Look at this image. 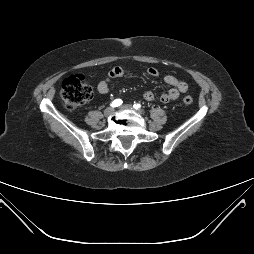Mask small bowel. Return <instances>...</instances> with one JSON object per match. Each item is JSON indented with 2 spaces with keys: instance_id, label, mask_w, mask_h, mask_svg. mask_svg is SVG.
I'll list each match as a JSON object with an SVG mask.
<instances>
[{
  "instance_id": "c3829d8e",
  "label": "small bowel",
  "mask_w": 254,
  "mask_h": 254,
  "mask_svg": "<svg viewBox=\"0 0 254 254\" xmlns=\"http://www.w3.org/2000/svg\"><path fill=\"white\" fill-rule=\"evenodd\" d=\"M124 74V71L120 67H114L112 68L106 75V77L98 82L97 90L101 94H106L109 92V85L112 80H115L117 78L122 77ZM147 74L151 77H158L159 71L151 67L147 70ZM164 82L170 86V90L166 93H163L160 95L159 100L162 103H170L171 101L176 100L180 93H184L188 90V84L172 75H167L164 77ZM144 99L146 101H153L155 99V94L152 91H147L144 93Z\"/></svg>"
}]
</instances>
